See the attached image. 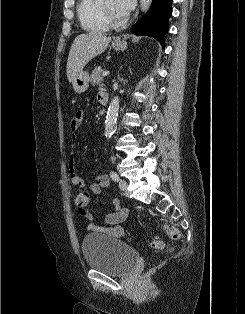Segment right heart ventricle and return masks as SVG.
Wrapping results in <instances>:
<instances>
[{
    "label": "right heart ventricle",
    "mask_w": 245,
    "mask_h": 314,
    "mask_svg": "<svg viewBox=\"0 0 245 314\" xmlns=\"http://www.w3.org/2000/svg\"><path fill=\"white\" fill-rule=\"evenodd\" d=\"M98 5L99 0H79L78 2V19L87 32L103 33L110 28L101 17Z\"/></svg>",
    "instance_id": "e07e8e85"
}]
</instances>
